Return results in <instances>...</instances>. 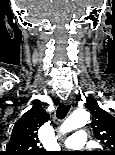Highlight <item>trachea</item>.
Returning <instances> with one entry per match:
<instances>
[{
    "label": "trachea",
    "mask_w": 115,
    "mask_h": 155,
    "mask_svg": "<svg viewBox=\"0 0 115 155\" xmlns=\"http://www.w3.org/2000/svg\"><path fill=\"white\" fill-rule=\"evenodd\" d=\"M71 105H65L61 103L56 111V116L59 120H62L67 115Z\"/></svg>",
    "instance_id": "trachea-1"
}]
</instances>
